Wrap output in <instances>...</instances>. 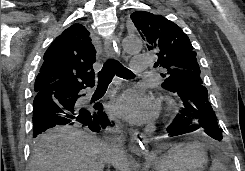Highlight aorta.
Returning a JSON list of instances; mask_svg holds the SVG:
<instances>
[{
  "label": "aorta",
  "mask_w": 245,
  "mask_h": 171,
  "mask_svg": "<svg viewBox=\"0 0 245 171\" xmlns=\"http://www.w3.org/2000/svg\"><path fill=\"white\" fill-rule=\"evenodd\" d=\"M122 47L127 53H137L142 49V40L136 36H127L122 41Z\"/></svg>",
  "instance_id": "obj_1"
}]
</instances>
